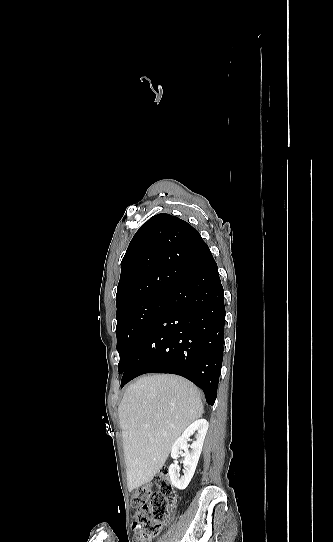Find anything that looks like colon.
I'll list each match as a JSON object with an SVG mask.
<instances>
[{
  "instance_id": "5ec220e1",
  "label": "colon",
  "mask_w": 333,
  "mask_h": 542,
  "mask_svg": "<svg viewBox=\"0 0 333 542\" xmlns=\"http://www.w3.org/2000/svg\"><path fill=\"white\" fill-rule=\"evenodd\" d=\"M152 484L159 490L154 493ZM174 502L173 486L169 470L165 467L156 474L154 481L138 489L132 496L131 505L137 515L131 517L134 529L129 532L131 540L153 538L160 532Z\"/></svg>"
}]
</instances>
